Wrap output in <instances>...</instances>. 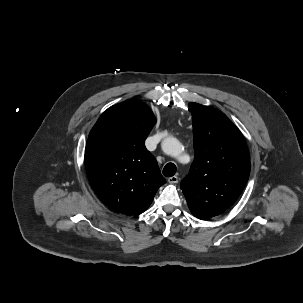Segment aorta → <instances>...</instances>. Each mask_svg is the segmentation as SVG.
Instances as JSON below:
<instances>
[{
	"mask_svg": "<svg viewBox=\"0 0 303 303\" xmlns=\"http://www.w3.org/2000/svg\"><path fill=\"white\" fill-rule=\"evenodd\" d=\"M179 147L180 143L173 137L166 138L162 142V149L167 154L174 153Z\"/></svg>",
	"mask_w": 303,
	"mask_h": 303,
	"instance_id": "obj_1",
	"label": "aorta"
}]
</instances>
